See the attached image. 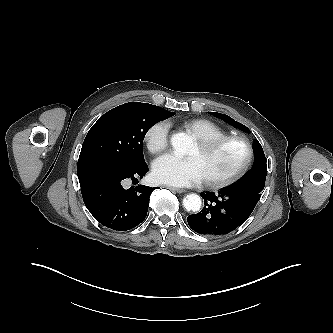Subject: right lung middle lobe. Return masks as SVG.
<instances>
[{
    "label": "right lung middle lobe",
    "instance_id": "1",
    "mask_svg": "<svg viewBox=\"0 0 333 333\" xmlns=\"http://www.w3.org/2000/svg\"><path fill=\"white\" fill-rule=\"evenodd\" d=\"M174 114L140 102L111 109L89 130L78 162L104 159L139 167L145 163L142 151L145 134L154 124Z\"/></svg>",
    "mask_w": 333,
    "mask_h": 333
}]
</instances>
